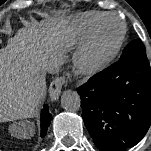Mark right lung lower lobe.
I'll return each mask as SVG.
<instances>
[{
	"mask_svg": "<svg viewBox=\"0 0 151 151\" xmlns=\"http://www.w3.org/2000/svg\"><path fill=\"white\" fill-rule=\"evenodd\" d=\"M52 116L48 111L46 105L41 112V136L44 137L47 131L48 126L50 125Z\"/></svg>",
	"mask_w": 151,
	"mask_h": 151,
	"instance_id": "right-lung-lower-lobe-1",
	"label": "right lung lower lobe"
}]
</instances>
